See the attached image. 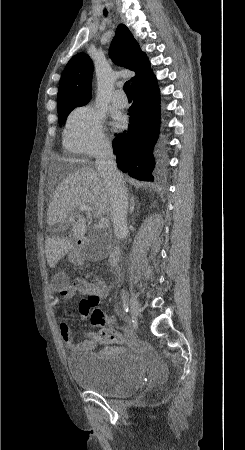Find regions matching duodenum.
Wrapping results in <instances>:
<instances>
[{
  "label": "duodenum",
  "mask_w": 245,
  "mask_h": 450,
  "mask_svg": "<svg viewBox=\"0 0 245 450\" xmlns=\"http://www.w3.org/2000/svg\"><path fill=\"white\" fill-rule=\"evenodd\" d=\"M103 233H107L108 234V233H110V231L106 230V231H103ZM78 241H79V243L83 244V243L87 242V238L82 237ZM109 245H110V248H111L110 249V254H109V263H110V265L112 267L118 268L119 265H120V251H119V249L117 247L116 242H114L113 240H110Z\"/></svg>",
  "instance_id": "obj_1"
}]
</instances>
